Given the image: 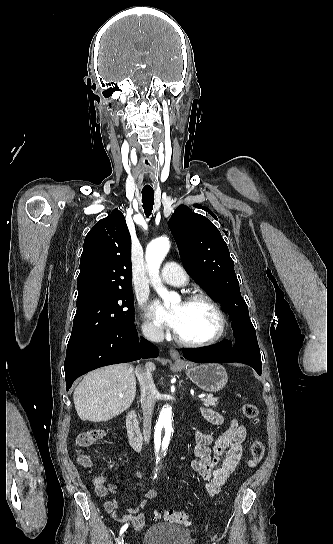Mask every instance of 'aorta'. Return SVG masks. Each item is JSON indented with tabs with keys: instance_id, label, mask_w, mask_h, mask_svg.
<instances>
[{
	"instance_id": "1",
	"label": "aorta",
	"mask_w": 333,
	"mask_h": 544,
	"mask_svg": "<svg viewBox=\"0 0 333 544\" xmlns=\"http://www.w3.org/2000/svg\"><path fill=\"white\" fill-rule=\"evenodd\" d=\"M170 248L168 238L160 237L151 242L146 250V262L148 265L149 274L153 277L156 284V292L164 301V305L169 307L171 303L179 301V295L169 292L159 279V269L161 262L165 258ZM172 432V411L170 408H163L155 430V450L156 452H166Z\"/></svg>"
}]
</instances>
